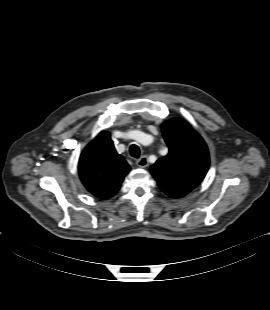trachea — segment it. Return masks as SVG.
<instances>
[{
    "instance_id": "trachea-1",
    "label": "trachea",
    "mask_w": 270,
    "mask_h": 310,
    "mask_svg": "<svg viewBox=\"0 0 270 310\" xmlns=\"http://www.w3.org/2000/svg\"><path fill=\"white\" fill-rule=\"evenodd\" d=\"M129 151H130V155L132 157H134V158H139L140 157V149H139V147L137 145L132 144L130 146Z\"/></svg>"
}]
</instances>
